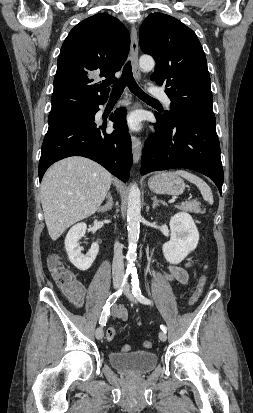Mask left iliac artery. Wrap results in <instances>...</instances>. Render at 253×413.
<instances>
[{"instance_id": "obj_1", "label": "left iliac artery", "mask_w": 253, "mask_h": 413, "mask_svg": "<svg viewBox=\"0 0 253 413\" xmlns=\"http://www.w3.org/2000/svg\"><path fill=\"white\" fill-rule=\"evenodd\" d=\"M132 293L134 294V296L137 298V300L142 303V304H146V305H151L152 301L148 298H146L144 295H142L141 293V289L139 287V280H138V275L137 273H132ZM160 328L162 329V331H164L166 333L167 328L165 325H161Z\"/></svg>"}]
</instances>
